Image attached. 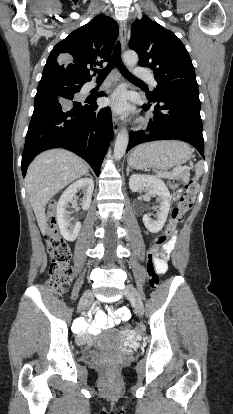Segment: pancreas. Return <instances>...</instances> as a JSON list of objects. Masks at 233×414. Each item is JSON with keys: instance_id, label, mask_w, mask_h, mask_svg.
<instances>
[{"instance_id": "obj_1", "label": "pancreas", "mask_w": 233, "mask_h": 414, "mask_svg": "<svg viewBox=\"0 0 233 414\" xmlns=\"http://www.w3.org/2000/svg\"><path fill=\"white\" fill-rule=\"evenodd\" d=\"M163 174H166V173H160V177H163ZM169 178H171V179H176V180H179V179H188L189 178V173L188 172H184V171H182V172H179V173H174L173 172V175H171Z\"/></svg>"}]
</instances>
